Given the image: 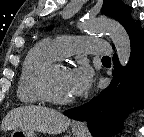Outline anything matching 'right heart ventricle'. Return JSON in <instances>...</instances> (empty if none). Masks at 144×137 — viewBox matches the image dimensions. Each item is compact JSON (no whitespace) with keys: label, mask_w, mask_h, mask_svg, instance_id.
I'll return each mask as SVG.
<instances>
[{"label":"right heart ventricle","mask_w":144,"mask_h":137,"mask_svg":"<svg viewBox=\"0 0 144 137\" xmlns=\"http://www.w3.org/2000/svg\"><path fill=\"white\" fill-rule=\"evenodd\" d=\"M58 59L50 41H41L27 53L17 84V96L27 105L39 104L44 101L36 87L37 76L42 68Z\"/></svg>","instance_id":"right-heart-ventricle-1"}]
</instances>
